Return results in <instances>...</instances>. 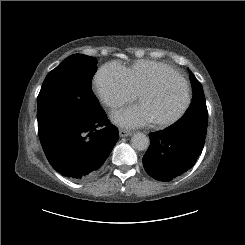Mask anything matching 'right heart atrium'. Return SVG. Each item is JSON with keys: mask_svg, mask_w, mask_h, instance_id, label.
Listing matches in <instances>:
<instances>
[{"mask_svg": "<svg viewBox=\"0 0 245 245\" xmlns=\"http://www.w3.org/2000/svg\"><path fill=\"white\" fill-rule=\"evenodd\" d=\"M92 84L97 97L110 109L120 108L137 97L126 68L117 62L99 67Z\"/></svg>", "mask_w": 245, "mask_h": 245, "instance_id": "d8ad5b80", "label": "right heart atrium"}]
</instances>
